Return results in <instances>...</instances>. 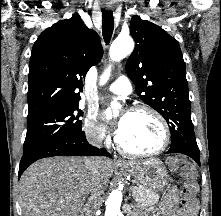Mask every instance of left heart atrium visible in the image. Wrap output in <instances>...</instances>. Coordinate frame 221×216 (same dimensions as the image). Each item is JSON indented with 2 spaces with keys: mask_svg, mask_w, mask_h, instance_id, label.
Returning <instances> with one entry per match:
<instances>
[{
  "mask_svg": "<svg viewBox=\"0 0 221 216\" xmlns=\"http://www.w3.org/2000/svg\"><path fill=\"white\" fill-rule=\"evenodd\" d=\"M126 116H127V114H123L121 116V118L117 121L116 125L114 126V133L116 134V136L118 138H119V136L121 135V133L123 131Z\"/></svg>",
  "mask_w": 221,
  "mask_h": 216,
  "instance_id": "1",
  "label": "left heart atrium"
}]
</instances>
